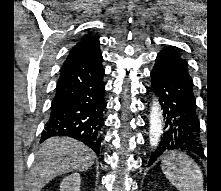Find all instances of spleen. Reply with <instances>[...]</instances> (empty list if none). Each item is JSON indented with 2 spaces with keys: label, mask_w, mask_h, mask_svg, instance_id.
Instances as JSON below:
<instances>
[{
  "label": "spleen",
  "mask_w": 221,
  "mask_h": 191,
  "mask_svg": "<svg viewBox=\"0 0 221 191\" xmlns=\"http://www.w3.org/2000/svg\"><path fill=\"white\" fill-rule=\"evenodd\" d=\"M161 168L166 178L179 191H203V174L193 159L183 153L169 152Z\"/></svg>",
  "instance_id": "1"
}]
</instances>
